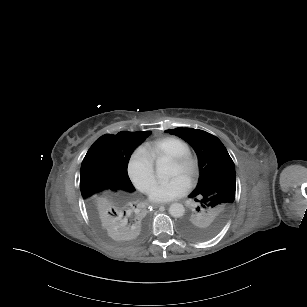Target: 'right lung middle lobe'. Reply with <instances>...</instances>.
Here are the masks:
<instances>
[{"label": "right lung middle lobe", "instance_id": "dd1d6c3e", "mask_svg": "<svg viewBox=\"0 0 307 307\" xmlns=\"http://www.w3.org/2000/svg\"><path fill=\"white\" fill-rule=\"evenodd\" d=\"M80 174V190L83 198L108 187L115 180L112 168L88 153L82 162Z\"/></svg>", "mask_w": 307, "mask_h": 307}]
</instances>
